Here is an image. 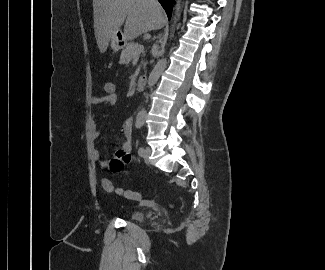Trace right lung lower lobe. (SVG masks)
I'll return each instance as SVG.
<instances>
[{
    "mask_svg": "<svg viewBox=\"0 0 325 270\" xmlns=\"http://www.w3.org/2000/svg\"><path fill=\"white\" fill-rule=\"evenodd\" d=\"M162 7L165 9L167 16L169 20L171 19V13H172V5L174 3V0H159Z\"/></svg>",
    "mask_w": 325,
    "mask_h": 270,
    "instance_id": "98d812e1",
    "label": "right lung lower lobe"
}]
</instances>
